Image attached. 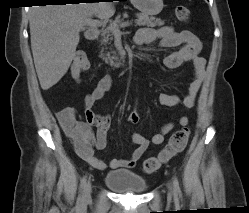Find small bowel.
Segmentation results:
<instances>
[{"label": "small bowel", "mask_w": 249, "mask_h": 213, "mask_svg": "<svg viewBox=\"0 0 249 213\" xmlns=\"http://www.w3.org/2000/svg\"><path fill=\"white\" fill-rule=\"evenodd\" d=\"M156 41L164 48H178L168 54L164 59L167 68L175 69L183 63H190L194 69V76L188 86L186 95L180 99L176 95L162 93L159 95V103L166 107H174L181 104L184 108L193 107L204 75L206 60L200 56L202 44L200 40L190 31H175L170 26L159 28L144 27L138 30L135 42L138 45L151 44ZM112 86L111 76L103 77L94 90L86 95L84 99L86 120L81 121L76 117V110L73 107H66L58 111L57 118L63 131L73 140L75 150L79 157L90 166L104 170L107 167L112 169L132 168L143 156L150 144H161L165 136L172 131L174 123L170 122L161 127L160 131L147 138L139 133H133L131 142L135 145L130 158H114L108 164L95 157V150H104L107 146V132L110 127L111 117L108 114H97L92 108L94 104L102 99ZM131 124L140 121V115L134 109L127 118ZM188 118L182 116L178 119L177 125L185 127ZM92 126L96 127L93 132Z\"/></svg>", "instance_id": "c3829d8e"}]
</instances>
